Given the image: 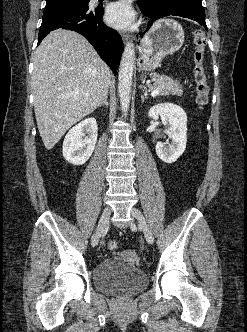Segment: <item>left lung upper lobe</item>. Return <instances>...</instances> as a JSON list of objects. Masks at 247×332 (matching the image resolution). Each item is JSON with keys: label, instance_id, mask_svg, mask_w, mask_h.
<instances>
[{"label": "left lung upper lobe", "instance_id": "1", "mask_svg": "<svg viewBox=\"0 0 247 332\" xmlns=\"http://www.w3.org/2000/svg\"><path fill=\"white\" fill-rule=\"evenodd\" d=\"M174 3H186V4H193V5H201L202 0H138V6L144 8H158L161 6L174 4Z\"/></svg>", "mask_w": 247, "mask_h": 332}]
</instances>
